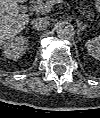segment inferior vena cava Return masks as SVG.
<instances>
[{
    "instance_id": "602c4592",
    "label": "inferior vena cava",
    "mask_w": 100,
    "mask_h": 118,
    "mask_svg": "<svg viewBox=\"0 0 100 118\" xmlns=\"http://www.w3.org/2000/svg\"><path fill=\"white\" fill-rule=\"evenodd\" d=\"M32 27L38 31L47 29L49 22L46 18L37 17L31 21Z\"/></svg>"
}]
</instances>
